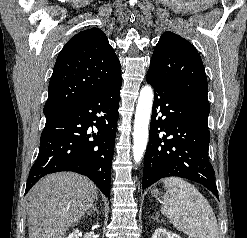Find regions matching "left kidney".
I'll use <instances>...</instances> for the list:
<instances>
[{
    "instance_id": "left-kidney-1",
    "label": "left kidney",
    "mask_w": 247,
    "mask_h": 238,
    "mask_svg": "<svg viewBox=\"0 0 247 238\" xmlns=\"http://www.w3.org/2000/svg\"><path fill=\"white\" fill-rule=\"evenodd\" d=\"M152 238H181L179 235L175 233H171L166 231L165 229L158 228L155 230Z\"/></svg>"
}]
</instances>
